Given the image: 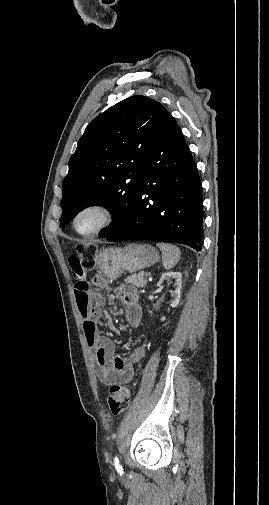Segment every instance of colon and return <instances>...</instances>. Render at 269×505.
Instances as JSON below:
<instances>
[{"instance_id": "5ec220e1", "label": "colon", "mask_w": 269, "mask_h": 505, "mask_svg": "<svg viewBox=\"0 0 269 505\" xmlns=\"http://www.w3.org/2000/svg\"><path fill=\"white\" fill-rule=\"evenodd\" d=\"M97 247L93 244H80L77 247L76 255L70 259H80L85 271H91L95 266ZM131 400V394L127 387L114 384L110 387V393L107 398L108 407L113 415H119L124 412Z\"/></svg>"}]
</instances>
